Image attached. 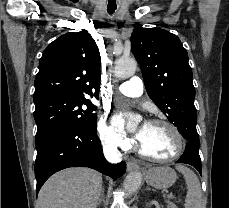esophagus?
I'll return each instance as SVG.
<instances>
[{
	"instance_id": "obj_1",
	"label": "esophagus",
	"mask_w": 229,
	"mask_h": 208,
	"mask_svg": "<svg viewBox=\"0 0 229 208\" xmlns=\"http://www.w3.org/2000/svg\"><path fill=\"white\" fill-rule=\"evenodd\" d=\"M138 168H139V165L135 161H128L127 162V170L129 172L135 171Z\"/></svg>"
}]
</instances>
